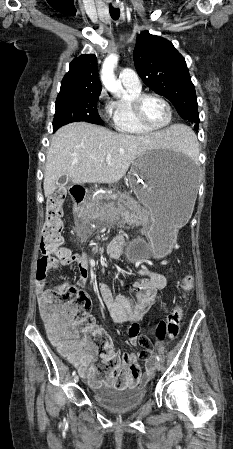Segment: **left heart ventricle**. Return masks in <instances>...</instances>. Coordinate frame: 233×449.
I'll return each instance as SVG.
<instances>
[{
    "label": "left heart ventricle",
    "instance_id": "b2bd125f",
    "mask_svg": "<svg viewBox=\"0 0 233 449\" xmlns=\"http://www.w3.org/2000/svg\"><path fill=\"white\" fill-rule=\"evenodd\" d=\"M143 116L153 126L163 125L168 119L166 106L157 98H147L142 106Z\"/></svg>",
    "mask_w": 233,
    "mask_h": 449
}]
</instances>
